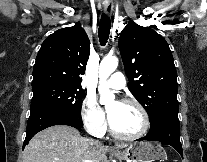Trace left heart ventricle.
<instances>
[{"label":"left heart ventricle","instance_id":"b2bd125f","mask_svg":"<svg viewBox=\"0 0 207 162\" xmlns=\"http://www.w3.org/2000/svg\"><path fill=\"white\" fill-rule=\"evenodd\" d=\"M107 110L112 125L119 133L130 135L141 130L143 117L136 106L113 102Z\"/></svg>","mask_w":207,"mask_h":162}]
</instances>
